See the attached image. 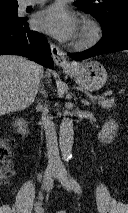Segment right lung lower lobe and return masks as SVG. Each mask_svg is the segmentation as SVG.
<instances>
[{"label": "right lung lower lobe", "mask_w": 128, "mask_h": 213, "mask_svg": "<svg viewBox=\"0 0 128 213\" xmlns=\"http://www.w3.org/2000/svg\"><path fill=\"white\" fill-rule=\"evenodd\" d=\"M20 55L53 68L50 46L46 38L28 28L27 19L0 18V55Z\"/></svg>", "instance_id": "obj_1"}]
</instances>
